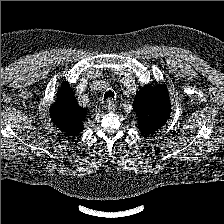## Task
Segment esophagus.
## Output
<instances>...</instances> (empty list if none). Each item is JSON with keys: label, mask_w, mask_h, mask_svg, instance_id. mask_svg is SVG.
Returning <instances> with one entry per match:
<instances>
[{"label": "esophagus", "mask_w": 224, "mask_h": 224, "mask_svg": "<svg viewBox=\"0 0 224 224\" xmlns=\"http://www.w3.org/2000/svg\"><path fill=\"white\" fill-rule=\"evenodd\" d=\"M106 110L108 112H114L115 110V105H114V102L112 101L111 98L107 99L106 100V106H105Z\"/></svg>", "instance_id": "34e87169"}]
</instances>
